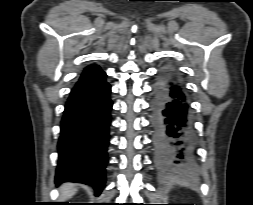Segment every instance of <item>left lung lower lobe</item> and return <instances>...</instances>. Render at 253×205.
Masks as SVG:
<instances>
[{
    "label": "left lung lower lobe",
    "instance_id": "left-lung-lower-lobe-1",
    "mask_svg": "<svg viewBox=\"0 0 253 205\" xmlns=\"http://www.w3.org/2000/svg\"><path fill=\"white\" fill-rule=\"evenodd\" d=\"M151 109L157 163L161 166H190L188 105L175 78L166 76L158 83Z\"/></svg>",
    "mask_w": 253,
    "mask_h": 205
}]
</instances>
